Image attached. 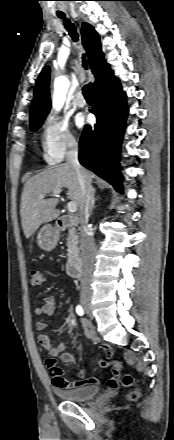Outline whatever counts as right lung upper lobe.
<instances>
[{
    "mask_svg": "<svg viewBox=\"0 0 174 440\" xmlns=\"http://www.w3.org/2000/svg\"><path fill=\"white\" fill-rule=\"evenodd\" d=\"M82 41L86 50L90 68L96 80L94 87L97 86L107 73L110 65L104 60V54L101 50L100 37L94 28L83 23L81 28ZM50 68L45 66L41 71L35 85L34 98L32 100L30 111V125L42 121L46 118L51 108L49 95Z\"/></svg>",
    "mask_w": 174,
    "mask_h": 440,
    "instance_id": "right-lung-upper-lobe-1",
    "label": "right lung upper lobe"
}]
</instances>
